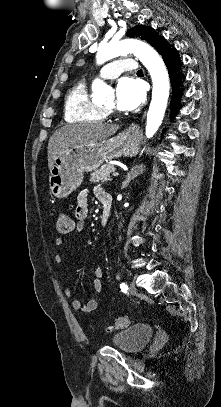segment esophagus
<instances>
[{
	"label": "esophagus",
	"mask_w": 221,
	"mask_h": 407,
	"mask_svg": "<svg viewBox=\"0 0 221 407\" xmlns=\"http://www.w3.org/2000/svg\"><path fill=\"white\" fill-rule=\"evenodd\" d=\"M132 131H133V132H138V131H139V127H138V126H134V127L132 128Z\"/></svg>",
	"instance_id": "1"
}]
</instances>
